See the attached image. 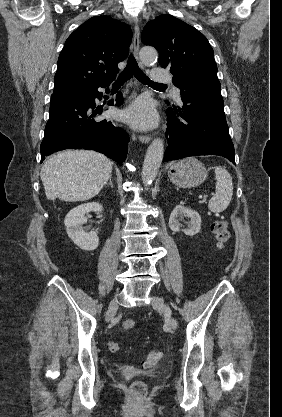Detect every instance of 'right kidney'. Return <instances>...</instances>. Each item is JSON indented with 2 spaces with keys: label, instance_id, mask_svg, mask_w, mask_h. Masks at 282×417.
I'll return each mask as SVG.
<instances>
[{
  "label": "right kidney",
  "instance_id": "right-kidney-1",
  "mask_svg": "<svg viewBox=\"0 0 282 417\" xmlns=\"http://www.w3.org/2000/svg\"><path fill=\"white\" fill-rule=\"evenodd\" d=\"M90 211H96L101 213L103 211L102 204L99 202H84V204H78L74 206V209L69 211L64 219V225L66 227L67 235L72 239L73 243L83 249V251H94L99 245V237H97V231H85L84 223H87L85 217L86 213Z\"/></svg>",
  "mask_w": 282,
  "mask_h": 417
}]
</instances>
